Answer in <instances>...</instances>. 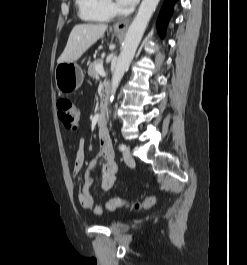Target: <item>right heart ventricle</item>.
I'll use <instances>...</instances> for the list:
<instances>
[{"label":"right heart ventricle","mask_w":247,"mask_h":265,"mask_svg":"<svg viewBox=\"0 0 247 265\" xmlns=\"http://www.w3.org/2000/svg\"><path fill=\"white\" fill-rule=\"evenodd\" d=\"M79 15L86 21L107 22L112 15L106 8L107 0H76Z\"/></svg>","instance_id":"e07e8e85"}]
</instances>
